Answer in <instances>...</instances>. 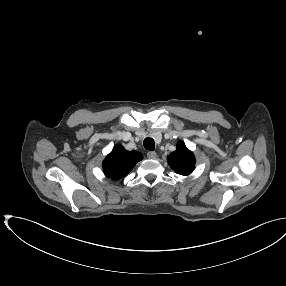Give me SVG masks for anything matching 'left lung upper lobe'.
I'll return each mask as SVG.
<instances>
[{
    "mask_svg": "<svg viewBox=\"0 0 286 286\" xmlns=\"http://www.w3.org/2000/svg\"><path fill=\"white\" fill-rule=\"evenodd\" d=\"M170 167L180 175H189L195 167V157L183 142H178L176 151L168 156Z\"/></svg>",
    "mask_w": 286,
    "mask_h": 286,
    "instance_id": "obj_1",
    "label": "left lung upper lobe"
}]
</instances>
